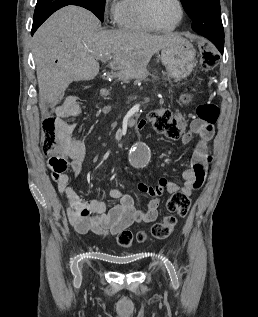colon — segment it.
Instances as JSON below:
<instances>
[{
	"mask_svg": "<svg viewBox=\"0 0 258 317\" xmlns=\"http://www.w3.org/2000/svg\"><path fill=\"white\" fill-rule=\"evenodd\" d=\"M217 55L210 49L201 52V63L204 69H212L217 64ZM188 101V97L184 96ZM198 118L208 124H214L219 117V108L212 103L201 104L197 108ZM149 120L154 130L172 139H178L183 135L184 122L181 115L169 109H157L149 114ZM62 126L60 115L49 113L45 115L42 130V145L45 153L57 155L62 149ZM190 198L188 195L176 192L166 202V209L170 214L185 217L190 209ZM166 215L155 223L151 228V235L156 239L167 238L174 230L176 218L173 215ZM136 239L139 242L146 240L144 232H140ZM134 241V234L129 230H123L117 236V243L121 247H130Z\"/></svg>",
	"mask_w": 258,
	"mask_h": 317,
	"instance_id": "1",
	"label": "colon"
}]
</instances>
